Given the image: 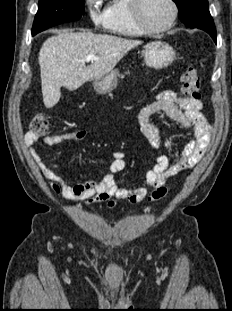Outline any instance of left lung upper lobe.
Listing matches in <instances>:
<instances>
[{
  "mask_svg": "<svg viewBox=\"0 0 232 311\" xmlns=\"http://www.w3.org/2000/svg\"><path fill=\"white\" fill-rule=\"evenodd\" d=\"M179 9V18L186 23L208 10L207 0H173Z\"/></svg>",
  "mask_w": 232,
  "mask_h": 311,
  "instance_id": "1",
  "label": "left lung upper lobe"
}]
</instances>
